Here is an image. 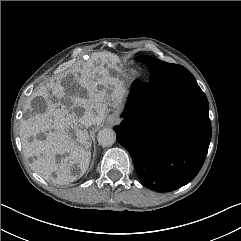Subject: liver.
<instances>
[{
  "instance_id": "obj_1",
  "label": "liver",
  "mask_w": 241,
  "mask_h": 241,
  "mask_svg": "<svg viewBox=\"0 0 241 241\" xmlns=\"http://www.w3.org/2000/svg\"><path fill=\"white\" fill-rule=\"evenodd\" d=\"M118 62V56L113 53H95L82 68L75 66L63 82L62 79L51 82L48 86L51 93L46 88L35 93L34 97L45 100L46 107L39 111L29 104L33 115L21 121L20 136L25 156L37 157L32 169L45 180L66 185L86 173L92 143L80 123L78 109L93 112L94 125H100L108 106L119 107L125 90L121 81L109 72L110 68L117 69ZM80 88L86 91L84 95H80ZM40 133L45 135V140L36 139ZM65 154L68 155L57 162L56 156ZM74 165L79 169L76 173H73Z\"/></svg>"
}]
</instances>
